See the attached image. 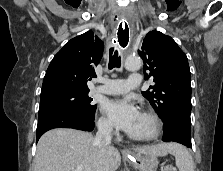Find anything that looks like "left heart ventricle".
I'll return each mask as SVG.
<instances>
[{
    "label": "left heart ventricle",
    "instance_id": "1",
    "mask_svg": "<svg viewBox=\"0 0 223 171\" xmlns=\"http://www.w3.org/2000/svg\"><path fill=\"white\" fill-rule=\"evenodd\" d=\"M153 132V123L146 116L140 114L134 127L129 132L133 136H147Z\"/></svg>",
    "mask_w": 223,
    "mask_h": 171
}]
</instances>
